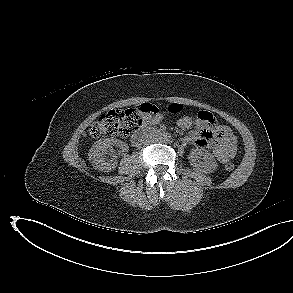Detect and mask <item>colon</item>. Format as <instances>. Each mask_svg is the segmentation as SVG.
I'll list each match as a JSON object with an SVG mask.
<instances>
[{"label": "colon", "mask_w": 293, "mask_h": 293, "mask_svg": "<svg viewBox=\"0 0 293 293\" xmlns=\"http://www.w3.org/2000/svg\"><path fill=\"white\" fill-rule=\"evenodd\" d=\"M180 104H171L168 111L172 114H178L182 111ZM199 117L206 121H212L213 116L206 112H199ZM142 123V113L138 109H114L103 114L89 130L90 136L93 138L118 136L126 137L129 133L139 127ZM226 171H232L234 165L227 163L224 166Z\"/></svg>", "instance_id": "obj_1"}]
</instances>
